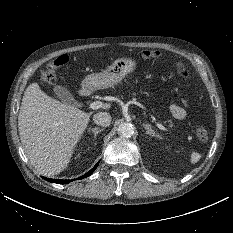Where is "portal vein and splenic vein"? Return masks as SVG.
Here are the masks:
<instances>
[{"label":"portal vein and splenic vein","instance_id":"1","mask_svg":"<svg viewBox=\"0 0 233 233\" xmlns=\"http://www.w3.org/2000/svg\"><path fill=\"white\" fill-rule=\"evenodd\" d=\"M89 107L93 110H96V109H100V108H103L104 107V103L100 102V101H94L92 103H90ZM158 128L163 130V131H168L167 128H165L163 125L161 124H157Z\"/></svg>","mask_w":233,"mask_h":233}]
</instances>
